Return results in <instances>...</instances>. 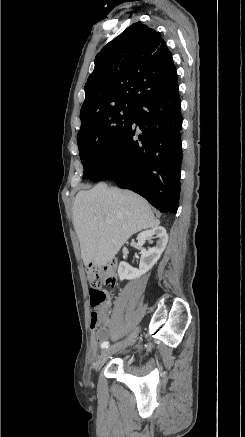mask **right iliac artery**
I'll return each mask as SVG.
<instances>
[{"label":"right iliac artery","instance_id":"right-iliac-artery-1","mask_svg":"<svg viewBox=\"0 0 245 437\" xmlns=\"http://www.w3.org/2000/svg\"><path fill=\"white\" fill-rule=\"evenodd\" d=\"M108 346H109V342H107V341H105L101 344L102 349L107 348Z\"/></svg>","mask_w":245,"mask_h":437}]
</instances>
